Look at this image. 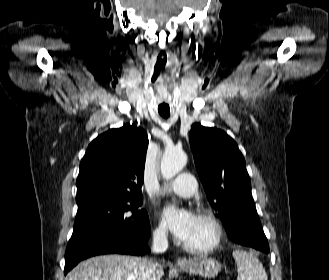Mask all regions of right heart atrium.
I'll return each mask as SVG.
<instances>
[{
	"instance_id": "d8ad5b80",
	"label": "right heart atrium",
	"mask_w": 329,
	"mask_h": 280,
	"mask_svg": "<svg viewBox=\"0 0 329 280\" xmlns=\"http://www.w3.org/2000/svg\"><path fill=\"white\" fill-rule=\"evenodd\" d=\"M154 238L158 242H164L167 239V232L166 229L162 226L159 225L155 228L154 230Z\"/></svg>"
}]
</instances>
